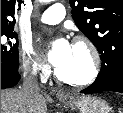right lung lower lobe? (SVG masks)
I'll use <instances>...</instances> for the list:
<instances>
[{
    "mask_svg": "<svg viewBox=\"0 0 123 113\" xmlns=\"http://www.w3.org/2000/svg\"><path fill=\"white\" fill-rule=\"evenodd\" d=\"M20 80L18 71L5 72L1 70V89L10 88L15 86Z\"/></svg>",
    "mask_w": 123,
    "mask_h": 113,
    "instance_id": "right-lung-lower-lobe-1",
    "label": "right lung lower lobe"
}]
</instances>
